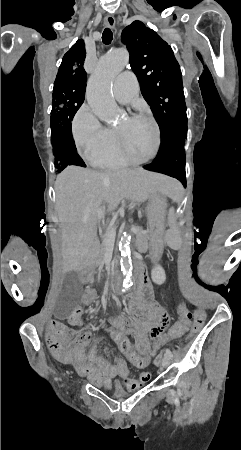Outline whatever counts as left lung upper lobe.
Listing matches in <instances>:
<instances>
[{"label":"left lung upper lobe","mask_w":241,"mask_h":450,"mask_svg":"<svg viewBox=\"0 0 241 450\" xmlns=\"http://www.w3.org/2000/svg\"><path fill=\"white\" fill-rule=\"evenodd\" d=\"M122 42L162 136L176 122L187 119L180 66L171 47L141 21L124 29Z\"/></svg>","instance_id":"1"}]
</instances>
